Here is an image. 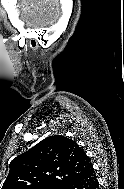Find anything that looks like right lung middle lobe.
<instances>
[{"mask_svg":"<svg viewBox=\"0 0 124 189\" xmlns=\"http://www.w3.org/2000/svg\"><path fill=\"white\" fill-rule=\"evenodd\" d=\"M64 186L62 185H45L42 187H39L38 189H63Z\"/></svg>","mask_w":124,"mask_h":189,"instance_id":"obj_1","label":"right lung middle lobe"}]
</instances>
